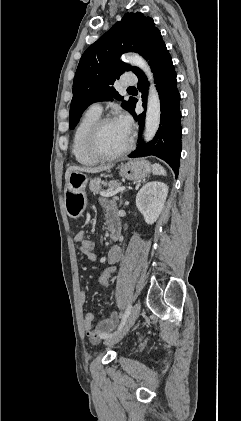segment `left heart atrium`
Masks as SVG:
<instances>
[{"instance_id": "obj_1", "label": "left heart atrium", "mask_w": 241, "mask_h": 421, "mask_svg": "<svg viewBox=\"0 0 241 421\" xmlns=\"http://www.w3.org/2000/svg\"><path fill=\"white\" fill-rule=\"evenodd\" d=\"M117 122L121 125V127L130 135L132 130V120L127 114H121L117 118Z\"/></svg>"}]
</instances>
